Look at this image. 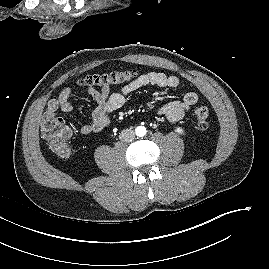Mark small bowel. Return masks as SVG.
<instances>
[{
    "mask_svg": "<svg viewBox=\"0 0 269 269\" xmlns=\"http://www.w3.org/2000/svg\"><path fill=\"white\" fill-rule=\"evenodd\" d=\"M179 83V78L175 75H167L162 72H147L121 86L116 92H111L108 87L100 90L92 87L87 88V92L95 101L96 107L93 110L91 122L82 125L80 133L89 135L104 130L109 124L110 115L125 104L126 98L131 93L140 88L155 85L160 88L175 89L179 86ZM72 93V87L64 88L56 98H52L48 102L46 114L55 115L58 110L70 112L73 108L70 100ZM198 99L197 93L193 91L186 92L180 100L162 105L158 109V113L171 123L178 122L198 102ZM66 135H71V129L68 127H66Z\"/></svg>",
    "mask_w": 269,
    "mask_h": 269,
    "instance_id": "c3829d8e",
    "label": "small bowel"
}]
</instances>
